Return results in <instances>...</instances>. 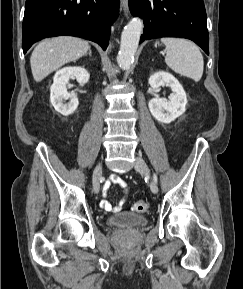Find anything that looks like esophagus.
Listing matches in <instances>:
<instances>
[{
    "mask_svg": "<svg viewBox=\"0 0 243 289\" xmlns=\"http://www.w3.org/2000/svg\"><path fill=\"white\" fill-rule=\"evenodd\" d=\"M122 6H123L124 13H125V15H126L127 12H128L127 0H122Z\"/></svg>",
    "mask_w": 243,
    "mask_h": 289,
    "instance_id": "obj_1",
    "label": "esophagus"
}]
</instances>
